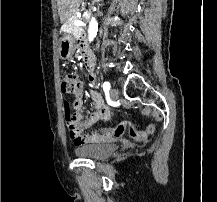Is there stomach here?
<instances>
[{"mask_svg":"<svg viewBox=\"0 0 217 202\" xmlns=\"http://www.w3.org/2000/svg\"><path fill=\"white\" fill-rule=\"evenodd\" d=\"M75 40L71 34H63L59 42V56L61 60H68L73 56Z\"/></svg>","mask_w":217,"mask_h":202,"instance_id":"stomach-1","label":"stomach"}]
</instances>
